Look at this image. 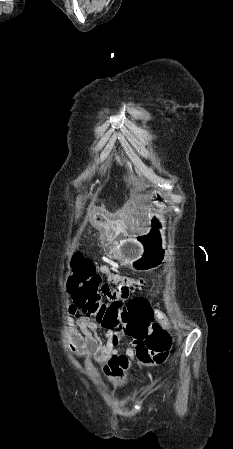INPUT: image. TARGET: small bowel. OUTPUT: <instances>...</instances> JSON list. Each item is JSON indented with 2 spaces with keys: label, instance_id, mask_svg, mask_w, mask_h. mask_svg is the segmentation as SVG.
<instances>
[{
  "label": "small bowel",
  "instance_id": "c3829d8e",
  "mask_svg": "<svg viewBox=\"0 0 233 449\" xmlns=\"http://www.w3.org/2000/svg\"><path fill=\"white\" fill-rule=\"evenodd\" d=\"M99 272L107 279L102 281L100 287L103 292L101 300L106 302L107 306L116 301V296H120L119 301H128L129 296H134L142 284V281L136 280L133 274H120L119 270H110L105 265L99 267ZM70 308L77 316V325L84 334L83 339L72 341L73 350L94 358L102 366L103 374L108 379H120L135 364L147 369L165 362L168 354L154 353L151 349H136L132 340L129 345H123L122 340L129 336L120 334L119 328H105V335L99 336L90 315L82 314L81 310L73 305ZM153 311L154 321H158L161 328L168 329L170 327L168 317L161 311Z\"/></svg>",
  "mask_w": 233,
  "mask_h": 449
}]
</instances>
